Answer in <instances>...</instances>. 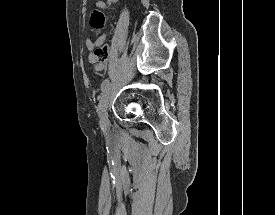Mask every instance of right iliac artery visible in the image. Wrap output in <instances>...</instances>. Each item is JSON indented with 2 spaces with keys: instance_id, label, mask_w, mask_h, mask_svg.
Returning <instances> with one entry per match:
<instances>
[{
  "instance_id": "82829eb1",
  "label": "right iliac artery",
  "mask_w": 275,
  "mask_h": 215,
  "mask_svg": "<svg viewBox=\"0 0 275 215\" xmlns=\"http://www.w3.org/2000/svg\"><path fill=\"white\" fill-rule=\"evenodd\" d=\"M109 80L105 79L102 84H101V95L104 93V91L106 90L107 86H108Z\"/></svg>"
}]
</instances>
